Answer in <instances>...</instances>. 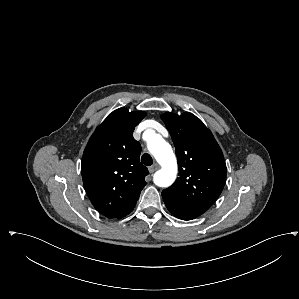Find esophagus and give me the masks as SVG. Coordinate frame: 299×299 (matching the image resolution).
Segmentation results:
<instances>
[{"instance_id": "1", "label": "esophagus", "mask_w": 299, "mask_h": 299, "mask_svg": "<svg viewBox=\"0 0 299 299\" xmlns=\"http://www.w3.org/2000/svg\"><path fill=\"white\" fill-rule=\"evenodd\" d=\"M158 168H159L158 164H154L150 166L148 169L150 173H154Z\"/></svg>"}]
</instances>
